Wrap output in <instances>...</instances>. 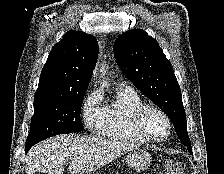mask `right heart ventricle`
<instances>
[{"instance_id": "e07e8e85", "label": "right heart ventricle", "mask_w": 224, "mask_h": 174, "mask_svg": "<svg viewBox=\"0 0 224 174\" xmlns=\"http://www.w3.org/2000/svg\"><path fill=\"white\" fill-rule=\"evenodd\" d=\"M143 104L142 99L133 89L119 88L114 98L102 107L99 135L115 141L146 142L133 125L134 113Z\"/></svg>"}]
</instances>
